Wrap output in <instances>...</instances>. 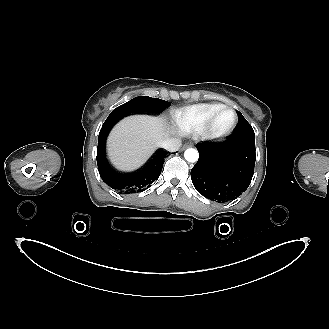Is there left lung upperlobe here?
Wrapping results in <instances>:
<instances>
[{
  "label": "left lung upper lobe",
  "instance_id": "obj_1",
  "mask_svg": "<svg viewBox=\"0 0 329 329\" xmlns=\"http://www.w3.org/2000/svg\"><path fill=\"white\" fill-rule=\"evenodd\" d=\"M238 126L234 132V135L237 134H254V131L251 125L247 122V120L243 117V115L238 111Z\"/></svg>",
  "mask_w": 329,
  "mask_h": 329
}]
</instances>
